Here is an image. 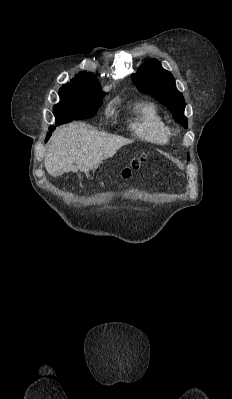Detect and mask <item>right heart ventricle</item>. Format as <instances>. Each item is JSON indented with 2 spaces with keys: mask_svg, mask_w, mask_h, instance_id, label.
I'll return each mask as SVG.
<instances>
[{
  "mask_svg": "<svg viewBox=\"0 0 232 399\" xmlns=\"http://www.w3.org/2000/svg\"><path fill=\"white\" fill-rule=\"evenodd\" d=\"M127 130L136 138L153 144H166L170 140L169 125L157 105L149 102L134 107Z\"/></svg>",
  "mask_w": 232,
  "mask_h": 399,
  "instance_id": "1",
  "label": "right heart ventricle"
}]
</instances>
